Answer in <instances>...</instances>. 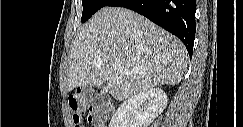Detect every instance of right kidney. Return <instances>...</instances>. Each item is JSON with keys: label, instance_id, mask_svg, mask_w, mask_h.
Listing matches in <instances>:
<instances>
[{"label": "right kidney", "instance_id": "1", "mask_svg": "<svg viewBox=\"0 0 243 127\" xmlns=\"http://www.w3.org/2000/svg\"><path fill=\"white\" fill-rule=\"evenodd\" d=\"M161 88H150L124 101L113 114L109 127H148L166 108Z\"/></svg>", "mask_w": 243, "mask_h": 127}]
</instances>
